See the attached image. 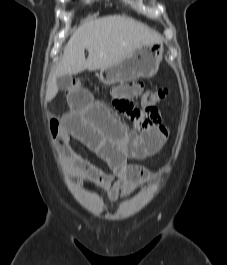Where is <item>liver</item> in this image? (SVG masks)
<instances>
[{
  "label": "liver",
  "instance_id": "obj_1",
  "mask_svg": "<svg viewBox=\"0 0 227 265\" xmlns=\"http://www.w3.org/2000/svg\"><path fill=\"white\" fill-rule=\"evenodd\" d=\"M161 41V36L147 26L121 15L90 19L73 31L59 64L50 75L46 101L58 92L56 79L78 74L86 69L95 71L123 61L134 49ZM85 49L88 58H85Z\"/></svg>",
  "mask_w": 227,
  "mask_h": 265
}]
</instances>
